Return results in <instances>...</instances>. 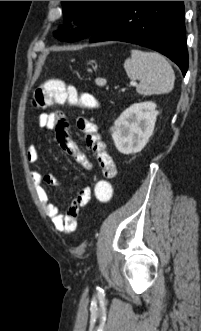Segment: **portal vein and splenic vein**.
I'll list each match as a JSON object with an SVG mask.
<instances>
[{
  "mask_svg": "<svg viewBox=\"0 0 201 331\" xmlns=\"http://www.w3.org/2000/svg\"><path fill=\"white\" fill-rule=\"evenodd\" d=\"M130 84H131V85H136V82H131Z\"/></svg>",
  "mask_w": 201,
  "mask_h": 331,
  "instance_id": "1",
  "label": "portal vein and splenic vein"
}]
</instances>
